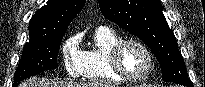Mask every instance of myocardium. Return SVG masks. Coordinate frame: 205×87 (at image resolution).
I'll use <instances>...</instances> for the list:
<instances>
[{"mask_svg": "<svg viewBox=\"0 0 205 87\" xmlns=\"http://www.w3.org/2000/svg\"><path fill=\"white\" fill-rule=\"evenodd\" d=\"M129 44H134L139 46L147 55L148 57V67L146 71L138 76H131L129 75L121 65V53L123 49L129 45ZM109 63L112 71L114 74L120 78L121 80L125 82H130V83H137V82H142L145 79L149 77V75L152 73L154 69V56L150 48L141 40L135 39V38H129V39H123L120 40L110 51L109 53Z\"/></svg>", "mask_w": 205, "mask_h": 87, "instance_id": "myocardium-1", "label": "myocardium"}]
</instances>
